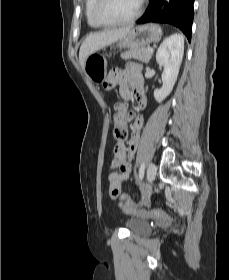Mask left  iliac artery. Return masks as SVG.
Listing matches in <instances>:
<instances>
[{"label":"left iliac artery","mask_w":229,"mask_h":280,"mask_svg":"<svg viewBox=\"0 0 229 280\" xmlns=\"http://www.w3.org/2000/svg\"><path fill=\"white\" fill-rule=\"evenodd\" d=\"M145 171V164L142 163L139 169V179L142 181Z\"/></svg>","instance_id":"left-iliac-artery-1"}]
</instances>
